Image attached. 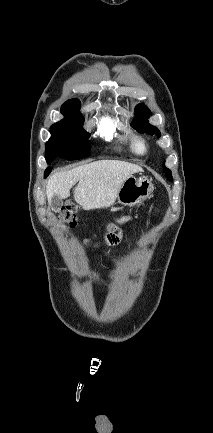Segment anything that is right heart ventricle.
I'll list each match as a JSON object with an SVG mask.
<instances>
[{"instance_id": "1", "label": "right heart ventricle", "mask_w": 213, "mask_h": 433, "mask_svg": "<svg viewBox=\"0 0 213 433\" xmlns=\"http://www.w3.org/2000/svg\"><path fill=\"white\" fill-rule=\"evenodd\" d=\"M132 148L137 153H143L145 151L144 143L137 138L132 140Z\"/></svg>"}]
</instances>
